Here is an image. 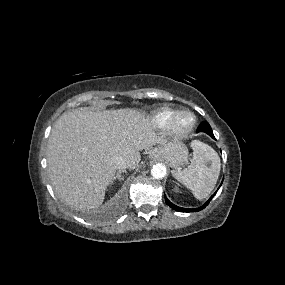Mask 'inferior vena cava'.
Segmentation results:
<instances>
[{"label":"inferior vena cava","instance_id":"1","mask_svg":"<svg viewBox=\"0 0 285 285\" xmlns=\"http://www.w3.org/2000/svg\"><path fill=\"white\" fill-rule=\"evenodd\" d=\"M114 166L118 170H123L128 167V163L125 158L118 156L113 160Z\"/></svg>","mask_w":285,"mask_h":285}]
</instances>
